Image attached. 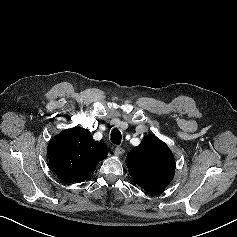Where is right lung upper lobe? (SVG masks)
I'll return each instance as SVG.
<instances>
[{"label":"right lung upper lobe","instance_id":"cb5924a9","mask_svg":"<svg viewBox=\"0 0 237 237\" xmlns=\"http://www.w3.org/2000/svg\"><path fill=\"white\" fill-rule=\"evenodd\" d=\"M107 154L108 148L82 127L62 131L51 139L47 148L51 168L59 178L70 183L88 178Z\"/></svg>","mask_w":237,"mask_h":237}]
</instances>
